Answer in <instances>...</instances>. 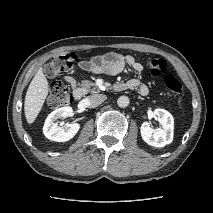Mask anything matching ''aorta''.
Returning a JSON list of instances; mask_svg holds the SVG:
<instances>
[{"label": "aorta", "instance_id": "1", "mask_svg": "<svg viewBox=\"0 0 213 213\" xmlns=\"http://www.w3.org/2000/svg\"><path fill=\"white\" fill-rule=\"evenodd\" d=\"M129 102V98L127 96H120L117 100V104L121 108L127 107Z\"/></svg>", "mask_w": 213, "mask_h": 213}]
</instances>
